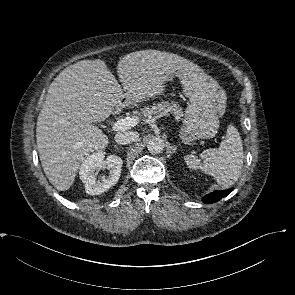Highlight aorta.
Segmentation results:
<instances>
[{"label": "aorta", "instance_id": "aorta-1", "mask_svg": "<svg viewBox=\"0 0 295 295\" xmlns=\"http://www.w3.org/2000/svg\"><path fill=\"white\" fill-rule=\"evenodd\" d=\"M147 148L152 154L161 153L164 149V141L160 137H152L147 143Z\"/></svg>", "mask_w": 295, "mask_h": 295}]
</instances>
